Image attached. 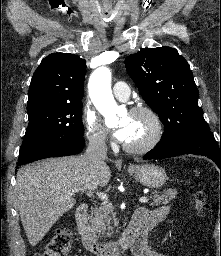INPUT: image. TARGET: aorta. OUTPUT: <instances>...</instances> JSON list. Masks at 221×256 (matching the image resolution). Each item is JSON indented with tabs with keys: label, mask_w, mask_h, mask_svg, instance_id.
<instances>
[{
	"label": "aorta",
	"mask_w": 221,
	"mask_h": 256,
	"mask_svg": "<svg viewBox=\"0 0 221 256\" xmlns=\"http://www.w3.org/2000/svg\"><path fill=\"white\" fill-rule=\"evenodd\" d=\"M88 89L93 104L105 121L115 119L119 108L112 95L111 72L107 67H99L91 74Z\"/></svg>",
	"instance_id": "aorta-1"
}]
</instances>
